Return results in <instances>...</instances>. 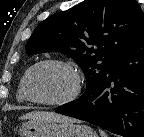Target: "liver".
Instances as JSON below:
<instances>
[{"mask_svg":"<svg viewBox=\"0 0 144 137\" xmlns=\"http://www.w3.org/2000/svg\"><path fill=\"white\" fill-rule=\"evenodd\" d=\"M21 120H29L32 122L37 121H55V122H63V121H74L73 119L58 114L54 112H45V111H33L26 113L20 117Z\"/></svg>","mask_w":144,"mask_h":137,"instance_id":"6515ba94","label":"liver"}]
</instances>
